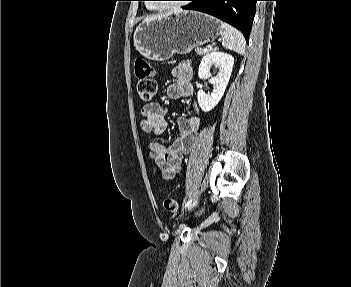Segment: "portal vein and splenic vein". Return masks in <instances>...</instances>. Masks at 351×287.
<instances>
[{
    "label": "portal vein and splenic vein",
    "instance_id": "1",
    "mask_svg": "<svg viewBox=\"0 0 351 287\" xmlns=\"http://www.w3.org/2000/svg\"><path fill=\"white\" fill-rule=\"evenodd\" d=\"M208 51V48H204V52H207Z\"/></svg>",
    "mask_w": 351,
    "mask_h": 287
}]
</instances>
